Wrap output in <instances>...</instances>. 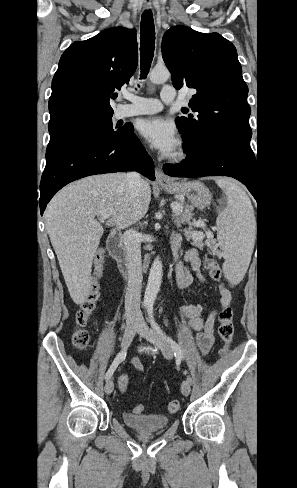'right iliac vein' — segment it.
<instances>
[{
    "label": "right iliac vein",
    "mask_w": 297,
    "mask_h": 488,
    "mask_svg": "<svg viewBox=\"0 0 297 488\" xmlns=\"http://www.w3.org/2000/svg\"><path fill=\"white\" fill-rule=\"evenodd\" d=\"M137 325H138V322L135 319L127 320L125 331H124V334L122 337V342H121L122 348H124V349L127 348L129 343L131 342V340L135 334ZM113 389H114V384H113L112 380H108L105 384V387H104L105 393L111 394Z\"/></svg>",
    "instance_id": "obj_1"
}]
</instances>
